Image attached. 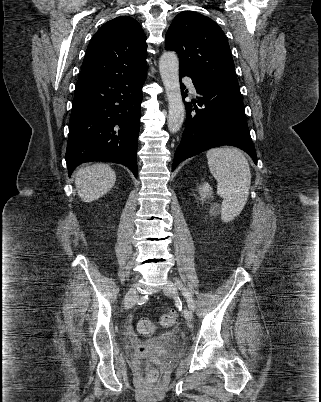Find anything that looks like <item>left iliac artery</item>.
Here are the masks:
<instances>
[{
    "label": "left iliac artery",
    "instance_id": "obj_1",
    "mask_svg": "<svg viewBox=\"0 0 321 402\" xmlns=\"http://www.w3.org/2000/svg\"><path fill=\"white\" fill-rule=\"evenodd\" d=\"M175 284L178 286L179 290H181L182 294L186 298L189 308L191 310H194L195 305H194V301L192 299L190 292L186 289V287L180 281H176Z\"/></svg>",
    "mask_w": 321,
    "mask_h": 402
}]
</instances>
